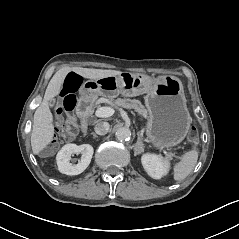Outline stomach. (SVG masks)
<instances>
[{
    "label": "stomach",
    "instance_id": "0dacf381",
    "mask_svg": "<svg viewBox=\"0 0 239 239\" xmlns=\"http://www.w3.org/2000/svg\"><path fill=\"white\" fill-rule=\"evenodd\" d=\"M146 94L148 111L145 141L159 150H172L186 138L192 125L184 85L176 76H160L156 82L146 74L122 72L95 81L88 80L79 89V100L94 102L99 96L115 98Z\"/></svg>",
    "mask_w": 239,
    "mask_h": 239
}]
</instances>
